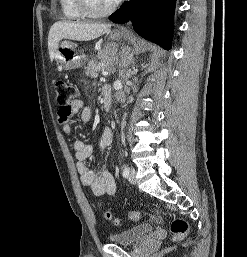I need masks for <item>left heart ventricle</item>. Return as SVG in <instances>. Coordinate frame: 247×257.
Instances as JSON below:
<instances>
[{
    "mask_svg": "<svg viewBox=\"0 0 247 257\" xmlns=\"http://www.w3.org/2000/svg\"><path fill=\"white\" fill-rule=\"evenodd\" d=\"M114 1L116 0H90L92 6L98 10L108 7Z\"/></svg>",
    "mask_w": 247,
    "mask_h": 257,
    "instance_id": "1",
    "label": "left heart ventricle"
}]
</instances>
